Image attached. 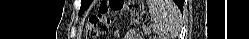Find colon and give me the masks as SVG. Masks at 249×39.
Segmentation results:
<instances>
[{"mask_svg": "<svg viewBox=\"0 0 249 39\" xmlns=\"http://www.w3.org/2000/svg\"><path fill=\"white\" fill-rule=\"evenodd\" d=\"M124 9L125 7L122 0H111L101 3L98 11L92 14L86 23L85 39L102 38L108 32L113 13ZM128 10L133 14L138 13L136 8H128Z\"/></svg>", "mask_w": 249, "mask_h": 39, "instance_id": "5ec220e1", "label": "colon"}]
</instances>
